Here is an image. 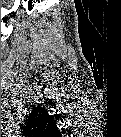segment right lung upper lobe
I'll return each mask as SVG.
<instances>
[{
  "instance_id": "cb5924a9",
  "label": "right lung upper lobe",
  "mask_w": 121,
  "mask_h": 137,
  "mask_svg": "<svg viewBox=\"0 0 121 137\" xmlns=\"http://www.w3.org/2000/svg\"><path fill=\"white\" fill-rule=\"evenodd\" d=\"M24 134L28 135H44L48 133H58L52 117L41 106L33 109L27 119L26 125L22 128Z\"/></svg>"
}]
</instances>
